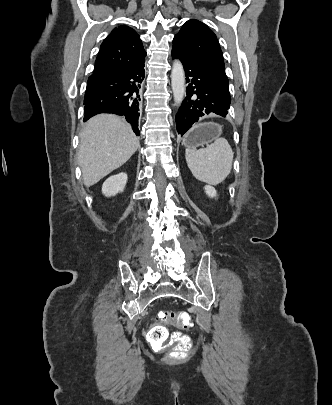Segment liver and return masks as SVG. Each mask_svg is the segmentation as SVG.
<instances>
[{"mask_svg": "<svg viewBox=\"0 0 332 405\" xmlns=\"http://www.w3.org/2000/svg\"><path fill=\"white\" fill-rule=\"evenodd\" d=\"M130 125L114 114L91 118L80 134L78 161L89 187L125 164L139 148Z\"/></svg>", "mask_w": 332, "mask_h": 405, "instance_id": "liver-1", "label": "liver"}]
</instances>
